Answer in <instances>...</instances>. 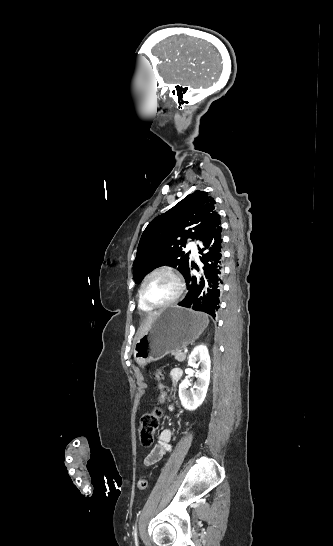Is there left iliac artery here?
<instances>
[{"instance_id": "obj_1", "label": "left iliac artery", "mask_w": 333, "mask_h": 546, "mask_svg": "<svg viewBox=\"0 0 333 546\" xmlns=\"http://www.w3.org/2000/svg\"><path fill=\"white\" fill-rule=\"evenodd\" d=\"M134 536H135V543L137 544V534H136V527H135V532H134Z\"/></svg>"}]
</instances>
